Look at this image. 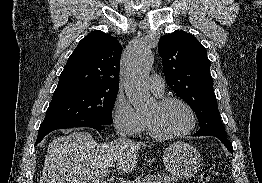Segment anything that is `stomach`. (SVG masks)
Instances as JSON below:
<instances>
[{
    "instance_id": "0dacf381",
    "label": "stomach",
    "mask_w": 262,
    "mask_h": 183,
    "mask_svg": "<svg viewBox=\"0 0 262 183\" xmlns=\"http://www.w3.org/2000/svg\"><path fill=\"white\" fill-rule=\"evenodd\" d=\"M166 169L175 178H189L201 166V155L196 148L186 142L169 144L163 152Z\"/></svg>"
}]
</instances>
